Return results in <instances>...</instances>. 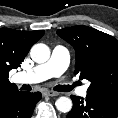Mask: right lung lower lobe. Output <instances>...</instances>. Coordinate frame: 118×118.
<instances>
[{"mask_svg": "<svg viewBox=\"0 0 118 118\" xmlns=\"http://www.w3.org/2000/svg\"><path fill=\"white\" fill-rule=\"evenodd\" d=\"M40 92H18L0 99V118H30Z\"/></svg>", "mask_w": 118, "mask_h": 118, "instance_id": "obj_1", "label": "right lung lower lobe"}]
</instances>
